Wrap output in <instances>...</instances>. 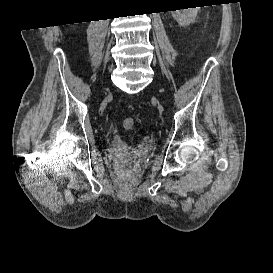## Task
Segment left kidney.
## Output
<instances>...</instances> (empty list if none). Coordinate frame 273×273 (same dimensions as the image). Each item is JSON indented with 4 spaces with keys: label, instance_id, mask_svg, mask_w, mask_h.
<instances>
[{
    "label": "left kidney",
    "instance_id": "obj_1",
    "mask_svg": "<svg viewBox=\"0 0 273 273\" xmlns=\"http://www.w3.org/2000/svg\"><path fill=\"white\" fill-rule=\"evenodd\" d=\"M199 7L171 11L173 18L182 27L192 24L197 16Z\"/></svg>",
    "mask_w": 273,
    "mask_h": 273
}]
</instances>
